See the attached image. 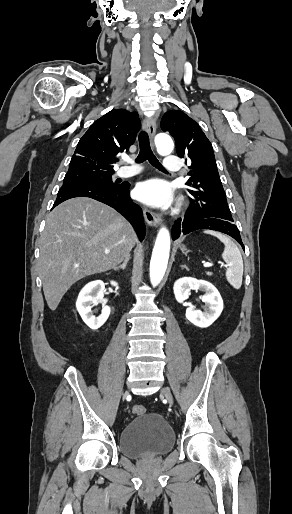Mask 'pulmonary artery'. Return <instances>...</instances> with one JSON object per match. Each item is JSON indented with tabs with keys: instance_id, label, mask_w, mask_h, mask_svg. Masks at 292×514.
<instances>
[{
	"instance_id": "e3ab8cb5",
	"label": "pulmonary artery",
	"mask_w": 292,
	"mask_h": 514,
	"mask_svg": "<svg viewBox=\"0 0 292 514\" xmlns=\"http://www.w3.org/2000/svg\"><path fill=\"white\" fill-rule=\"evenodd\" d=\"M164 168L167 172H180L183 169V164L179 161L177 156H168L165 160ZM135 172L127 171L123 168L119 169L117 175L122 178L130 177Z\"/></svg>"
}]
</instances>
